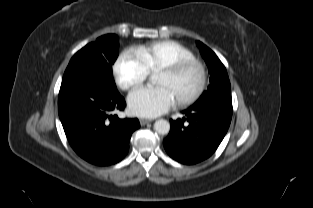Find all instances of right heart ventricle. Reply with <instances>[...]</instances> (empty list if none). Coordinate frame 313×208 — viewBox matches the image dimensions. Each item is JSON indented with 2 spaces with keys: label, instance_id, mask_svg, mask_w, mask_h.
Wrapping results in <instances>:
<instances>
[{
  "label": "right heart ventricle",
  "instance_id": "e07e8e85",
  "mask_svg": "<svg viewBox=\"0 0 313 208\" xmlns=\"http://www.w3.org/2000/svg\"><path fill=\"white\" fill-rule=\"evenodd\" d=\"M148 72H155L177 61L193 59V52L174 40H160L135 48L134 50Z\"/></svg>",
  "mask_w": 313,
  "mask_h": 208
}]
</instances>
